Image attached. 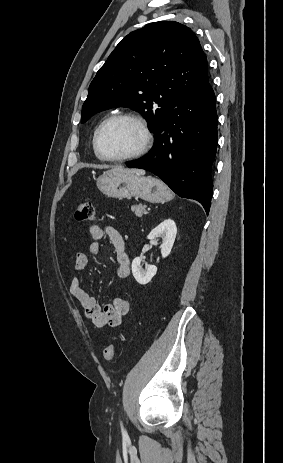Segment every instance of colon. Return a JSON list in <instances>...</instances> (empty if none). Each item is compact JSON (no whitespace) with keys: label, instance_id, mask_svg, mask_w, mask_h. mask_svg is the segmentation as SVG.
<instances>
[{"label":"colon","instance_id":"1","mask_svg":"<svg viewBox=\"0 0 283 463\" xmlns=\"http://www.w3.org/2000/svg\"><path fill=\"white\" fill-rule=\"evenodd\" d=\"M75 218L81 222L93 221L96 218V209L91 202H82L75 211ZM116 354L114 344H109L103 351V357L106 361H112Z\"/></svg>","mask_w":283,"mask_h":463}]
</instances>
